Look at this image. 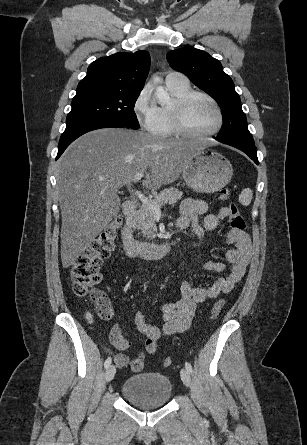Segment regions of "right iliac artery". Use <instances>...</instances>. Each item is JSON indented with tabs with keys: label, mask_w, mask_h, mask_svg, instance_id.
I'll return each mask as SVG.
<instances>
[{
	"label": "right iliac artery",
	"mask_w": 307,
	"mask_h": 445,
	"mask_svg": "<svg viewBox=\"0 0 307 445\" xmlns=\"http://www.w3.org/2000/svg\"><path fill=\"white\" fill-rule=\"evenodd\" d=\"M111 361H112L111 357H108L104 363V367L108 368L111 364Z\"/></svg>",
	"instance_id": "right-iliac-artery-1"
}]
</instances>
